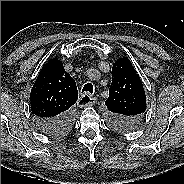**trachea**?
I'll return each instance as SVG.
<instances>
[{
  "instance_id": "obj_1",
  "label": "trachea",
  "mask_w": 184,
  "mask_h": 184,
  "mask_svg": "<svg viewBox=\"0 0 184 184\" xmlns=\"http://www.w3.org/2000/svg\"><path fill=\"white\" fill-rule=\"evenodd\" d=\"M82 92H89V93H93V85L91 83H87L84 85Z\"/></svg>"
}]
</instances>
